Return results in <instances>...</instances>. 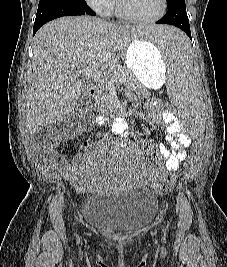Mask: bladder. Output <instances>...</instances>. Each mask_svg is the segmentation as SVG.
<instances>
[{"instance_id":"bladder-1","label":"bladder","mask_w":227,"mask_h":267,"mask_svg":"<svg viewBox=\"0 0 227 267\" xmlns=\"http://www.w3.org/2000/svg\"><path fill=\"white\" fill-rule=\"evenodd\" d=\"M157 210V196L148 188L111 194L92 192L82 204V216L88 225L119 232L143 227Z\"/></svg>"}]
</instances>
